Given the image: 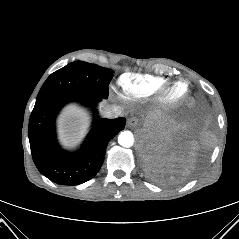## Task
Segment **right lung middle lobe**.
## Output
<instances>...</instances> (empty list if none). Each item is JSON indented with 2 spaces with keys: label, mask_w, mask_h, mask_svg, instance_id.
Instances as JSON below:
<instances>
[{
  "label": "right lung middle lobe",
  "mask_w": 239,
  "mask_h": 239,
  "mask_svg": "<svg viewBox=\"0 0 239 239\" xmlns=\"http://www.w3.org/2000/svg\"><path fill=\"white\" fill-rule=\"evenodd\" d=\"M113 72L96 64L72 62L47 78L37 99L58 93L89 94L107 98Z\"/></svg>",
  "instance_id": "obj_1"
}]
</instances>
